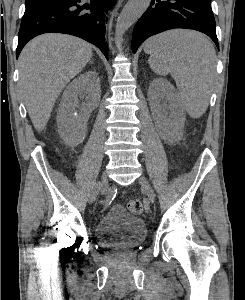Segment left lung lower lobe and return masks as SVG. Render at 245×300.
Here are the masks:
<instances>
[{"label": "left lung lower lobe", "mask_w": 245, "mask_h": 300, "mask_svg": "<svg viewBox=\"0 0 245 300\" xmlns=\"http://www.w3.org/2000/svg\"><path fill=\"white\" fill-rule=\"evenodd\" d=\"M174 28L203 32L219 49L211 0H152L134 27L133 53L148 37Z\"/></svg>", "instance_id": "left-lung-lower-lobe-1"}]
</instances>
